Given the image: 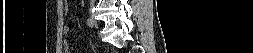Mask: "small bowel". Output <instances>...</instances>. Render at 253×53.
Instances as JSON below:
<instances>
[{
    "label": "small bowel",
    "instance_id": "c3829d8e",
    "mask_svg": "<svg viewBox=\"0 0 253 53\" xmlns=\"http://www.w3.org/2000/svg\"><path fill=\"white\" fill-rule=\"evenodd\" d=\"M63 31H64V33H67L69 31V27L68 26H64L63 27Z\"/></svg>",
    "mask_w": 253,
    "mask_h": 53
}]
</instances>
